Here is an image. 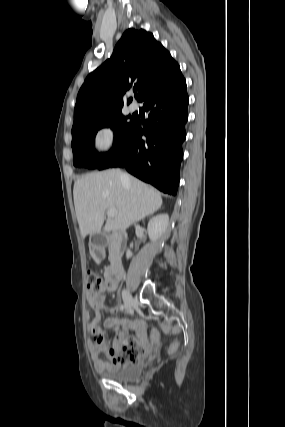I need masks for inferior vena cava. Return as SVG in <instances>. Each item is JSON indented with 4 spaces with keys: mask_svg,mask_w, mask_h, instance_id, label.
I'll list each match as a JSON object with an SVG mask.
<instances>
[{
    "mask_svg": "<svg viewBox=\"0 0 285 427\" xmlns=\"http://www.w3.org/2000/svg\"><path fill=\"white\" fill-rule=\"evenodd\" d=\"M126 177H127V176H126V174H122V175H121V178H122V179H126Z\"/></svg>",
    "mask_w": 285,
    "mask_h": 427,
    "instance_id": "obj_1",
    "label": "inferior vena cava"
}]
</instances>
